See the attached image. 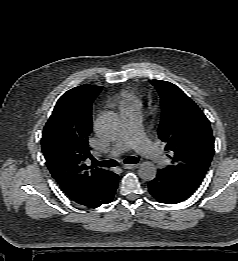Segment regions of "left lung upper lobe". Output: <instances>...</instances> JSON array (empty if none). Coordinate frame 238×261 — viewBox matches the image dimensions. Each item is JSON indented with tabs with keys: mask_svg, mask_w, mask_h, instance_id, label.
Listing matches in <instances>:
<instances>
[{
	"mask_svg": "<svg viewBox=\"0 0 238 261\" xmlns=\"http://www.w3.org/2000/svg\"><path fill=\"white\" fill-rule=\"evenodd\" d=\"M161 104L159 138L172 164L166 169L177 179L197 188L214 154V138L209 120L179 87L153 80Z\"/></svg>",
	"mask_w": 238,
	"mask_h": 261,
	"instance_id": "obj_1",
	"label": "left lung upper lobe"
}]
</instances>
